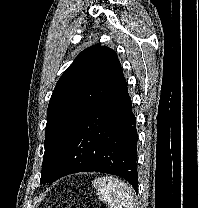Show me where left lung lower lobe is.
<instances>
[{
	"instance_id": "left-lung-lower-lobe-1",
	"label": "left lung lower lobe",
	"mask_w": 199,
	"mask_h": 208,
	"mask_svg": "<svg viewBox=\"0 0 199 208\" xmlns=\"http://www.w3.org/2000/svg\"><path fill=\"white\" fill-rule=\"evenodd\" d=\"M136 118L124 80L75 131L49 185L77 172H103L126 179L137 192Z\"/></svg>"
}]
</instances>
